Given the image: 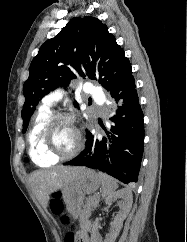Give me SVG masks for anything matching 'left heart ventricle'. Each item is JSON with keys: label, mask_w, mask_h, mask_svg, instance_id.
Returning a JSON list of instances; mask_svg holds the SVG:
<instances>
[{"label": "left heart ventricle", "mask_w": 187, "mask_h": 242, "mask_svg": "<svg viewBox=\"0 0 187 242\" xmlns=\"http://www.w3.org/2000/svg\"><path fill=\"white\" fill-rule=\"evenodd\" d=\"M77 142V135L74 126L67 121H60L56 124L51 135V146L60 153L71 151Z\"/></svg>", "instance_id": "left-heart-ventricle-1"}]
</instances>
